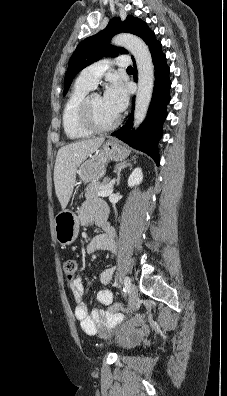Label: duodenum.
Returning a JSON list of instances; mask_svg holds the SVG:
<instances>
[{
    "mask_svg": "<svg viewBox=\"0 0 227 396\" xmlns=\"http://www.w3.org/2000/svg\"><path fill=\"white\" fill-rule=\"evenodd\" d=\"M100 225H103V221H101Z\"/></svg>",
    "mask_w": 227,
    "mask_h": 396,
    "instance_id": "obj_1",
    "label": "duodenum"
}]
</instances>
